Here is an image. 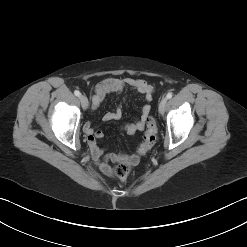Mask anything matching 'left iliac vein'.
<instances>
[{"instance_id": "1", "label": "left iliac vein", "mask_w": 247, "mask_h": 247, "mask_svg": "<svg viewBox=\"0 0 247 247\" xmlns=\"http://www.w3.org/2000/svg\"><path fill=\"white\" fill-rule=\"evenodd\" d=\"M166 105H167V99L166 98H162V100L159 103V112L160 113H164Z\"/></svg>"}]
</instances>
